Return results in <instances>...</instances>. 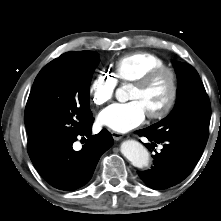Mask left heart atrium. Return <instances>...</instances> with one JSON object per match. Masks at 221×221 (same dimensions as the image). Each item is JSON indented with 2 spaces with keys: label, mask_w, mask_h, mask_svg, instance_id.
Here are the masks:
<instances>
[{
  "label": "left heart atrium",
  "mask_w": 221,
  "mask_h": 221,
  "mask_svg": "<svg viewBox=\"0 0 221 221\" xmlns=\"http://www.w3.org/2000/svg\"><path fill=\"white\" fill-rule=\"evenodd\" d=\"M146 111L138 100L115 103L98 115V123L118 132H127L143 123Z\"/></svg>",
  "instance_id": "39dd6f15"
}]
</instances>
